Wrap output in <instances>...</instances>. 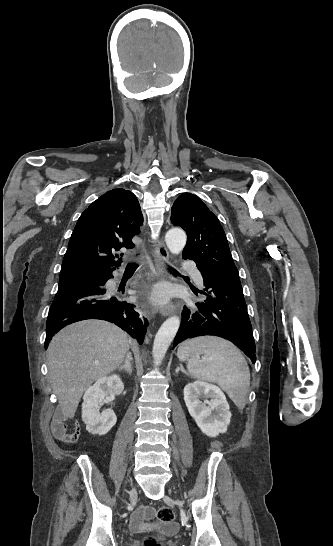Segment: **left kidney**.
Listing matches in <instances>:
<instances>
[{"label":"left kidney","instance_id":"1","mask_svg":"<svg viewBox=\"0 0 333 546\" xmlns=\"http://www.w3.org/2000/svg\"><path fill=\"white\" fill-rule=\"evenodd\" d=\"M199 398L204 399V402ZM184 400L190 415L205 435L216 437L227 431L231 412L219 387L195 381L185 386Z\"/></svg>","mask_w":333,"mask_h":546}]
</instances>
